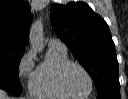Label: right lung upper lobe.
<instances>
[{
	"label": "right lung upper lobe",
	"mask_w": 128,
	"mask_h": 99,
	"mask_svg": "<svg viewBox=\"0 0 128 99\" xmlns=\"http://www.w3.org/2000/svg\"><path fill=\"white\" fill-rule=\"evenodd\" d=\"M32 17L27 1H0V50L25 51Z\"/></svg>",
	"instance_id": "cb5924a9"
}]
</instances>
